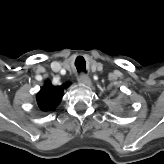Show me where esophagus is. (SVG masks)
Listing matches in <instances>:
<instances>
[{"label": "esophagus", "instance_id": "1", "mask_svg": "<svg viewBox=\"0 0 164 164\" xmlns=\"http://www.w3.org/2000/svg\"><path fill=\"white\" fill-rule=\"evenodd\" d=\"M80 84L91 85V79L86 74H81L78 78Z\"/></svg>", "mask_w": 164, "mask_h": 164}]
</instances>
